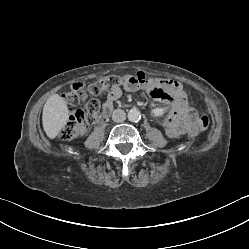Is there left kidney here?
Listing matches in <instances>:
<instances>
[{
	"label": "left kidney",
	"instance_id": "obj_1",
	"mask_svg": "<svg viewBox=\"0 0 249 249\" xmlns=\"http://www.w3.org/2000/svg\"><path fill=\"white\" fill-rule=\"evenodd\" d=\"M151 114H152V116H153L154 118L160 119V118H162V117L164 116L165 111H164V109H163L162 107L156 106V107H154V108L152 109Z\"/></svg>",
	"mask_w": 249,
	"mask_h": 249
}]
</instances>
